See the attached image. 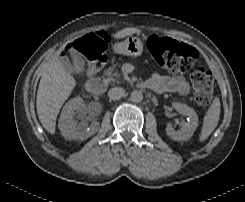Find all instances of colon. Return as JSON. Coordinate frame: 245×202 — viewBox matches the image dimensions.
<instances>
[{
    "mask_svg": "<svg viewBox=\"0 0 245 202\" xmlns=\"http://www.w3.org/2000/svg\"><path fill=\"white\" fill-rule=\"evenodd\" d=\"M110 39L102 32H95L70 42L66 54L85 56L88 64L83 68L98 70L107 63V48ZM147 48L153 59L164 69L171 72H187L198 59V51L185 43L152 36ZM194 99L196 103L206 108L212 100L215 81L212 75L202 69L191 73Z\"/></svg>",
    "mask_w": 245,
    "mask_h": 202,
    "instance_id": "colon-1",
    "label": "colon"
}]
</instances>
